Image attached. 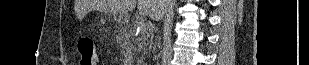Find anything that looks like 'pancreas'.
Returning <instances> with one entry per match:
<instances>
[{
	"label": "pancreas",
	"mask_w": 309,
	"mask_h": 65,
	"mask_svg": "<svg viewBox=\"0 0 309 65\" xmlns=\"http://www.w3.org/2000/svg\"><path fill=\"white\" fill-rule=\"evenodd\" d=\"M140 19H135L129 27V37L133 40L134 43V52L144 53L146 51L147 45L150 43L149 33L146 29H140L139 35L135 37L136 29L140 26Z\"/></svg>",
	"instance_id": "cf45deb5"
}]
</instances>
